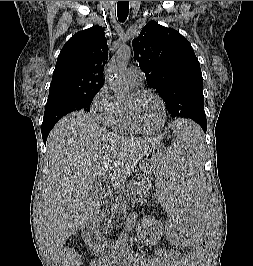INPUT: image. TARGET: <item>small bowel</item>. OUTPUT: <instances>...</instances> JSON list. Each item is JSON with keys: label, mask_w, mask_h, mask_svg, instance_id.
I'll return each mask as SVG.
<instances>
[{"label": "small bowel", "mask_w": 253, "mask_h": 266, "mask_svg": "<svg viewBox=\"0 0 253 266\" xmlns=\"http://www.w3.org/2000/svg\"><path fill=\"white\" fill-rule=\"evenodd\" d=\"M158 258L144 260L138 253L131 252L122 259L116 260V264L124 266H183V261L178 253L172 249L158 248L156 250ZM103 261L95 260L91 266H103Z\"/></svg>", "instance_id": "small-bowel-1"}]
</instances>
